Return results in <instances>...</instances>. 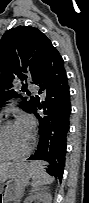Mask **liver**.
<instances>
[{
	"instance_id": "6515ba94",
	"label": "liver",
	"mask_w": 89,
	"mask_h": 203,
	"mask_svg": "<svg viewBox=\"0 0 89 203\" xmlns=\"http://www.w3.org/2000/svg\"><path fill=\"white\" fill-rule=\"evenodd\" d=\"M6 166L2 165L1 166V177L3 176L4 172H5Z\"/></svg>"
}]
</instances>
